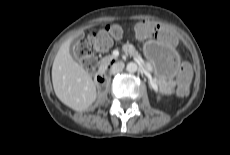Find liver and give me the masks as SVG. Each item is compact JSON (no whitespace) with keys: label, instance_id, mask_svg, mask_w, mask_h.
Here are the masks:
<instances>
[{"label":"liver","instance_id":"1","mask_svg":"<svg viewBox=\"0 0 230 155\" xmlns=\"http://www.w3.org/2000/svg\"><path fill=\"white\" fill-rule=\"evenodd\" d=\"M75 36L59 48L52 66V83L56 96L66 106L84 111L96 100V86L91 75L74 61L70 45Z\"/></svg>","mask_w":230,"mask_h":155}]
</instances>
